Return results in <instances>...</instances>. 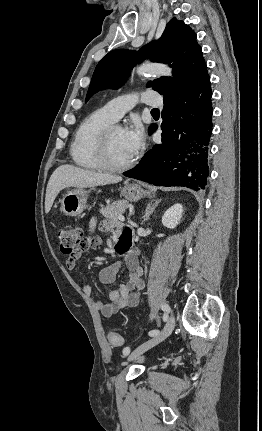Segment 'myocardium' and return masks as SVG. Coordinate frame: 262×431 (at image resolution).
Instances as JSON below:
<instances>
[{
    "label": "myocardium",
    "instance_id": "obj_1",
    "mask_svg": "<svg viewBox=\"0 0 262 431\" xmlns=\"http://www.w3.org/2000/svg\"><path fill=\"white\" fill-rule=\"evenodd\" d=\"M117 128H121V127L115 124H111L107 126L100 135L99 146H98V158L102 165V168L112 172H121V171L128 170L131 167H133L134 164L136 163L135 157H133L130 161L124 164L116 165L112 163L110 159V153H109V144H110L111 136Z\"/></svg>",
    "mask_w": 262,
    "mask_h": 431
}]
</instances>
